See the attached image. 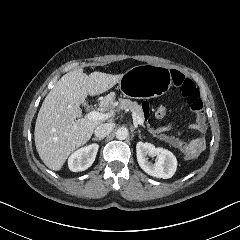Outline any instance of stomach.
<instances>
[{"label": "stomach", "instance_id": "obj_1", "mask_svg": "<svg viewBox=\"0 0 240 240\" xmlns=\"http://www.w3.org/2000/svg\"><path fill=\"white\" fill-rule=\"evenodd\" d=\"M171 86L170 71L163 67L140 65L127 70L118 89L130 99H151L164 95Z\"/></svg>", "mask_w": 240, "mask_h": 240}]
</instances>
